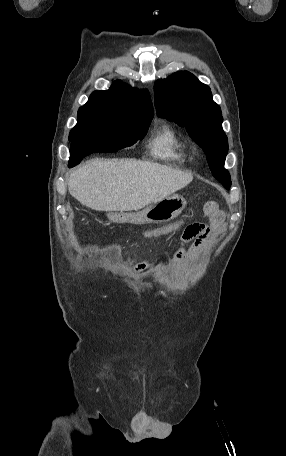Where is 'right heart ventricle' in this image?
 I'll return each mask as SVG.
<instances>
[{
  "mask_svg": "<svg viewBox=\"0 0 286 456\" xmlns=\"http://www.w3.org/2000/svg\"><path fill=\"white\" fill-rule=\"evenodd\" d=\"M151 154L170 161H184L189 157L186 140L170 125L160 128L152 138Z\"/></svg>",
  "mask_w": 286,
  "mask_h": 456,
  "instance_id": "1",
  "label": "right heart ventricle"
}]
</instances>
